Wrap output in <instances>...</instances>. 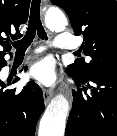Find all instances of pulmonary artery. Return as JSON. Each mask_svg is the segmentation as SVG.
Instances as JSON below:
<instances>
[{
	"mask_svg": "<svg viewBox=\"0 0 117 136\" xmlns=\"http://www.w3.org/2000/svg\"><path fill=\"white\" fill-rule=\"evenodd\" d=\"M54 46L59 49H74L77 46L75 37L69 32H62L57 36Z\"/></svg>",
	"mask_w": 117,
	"mask_h": 136,
	"instance_id": "1",
	"label": "pulmonary artery"
}]
</instances>
